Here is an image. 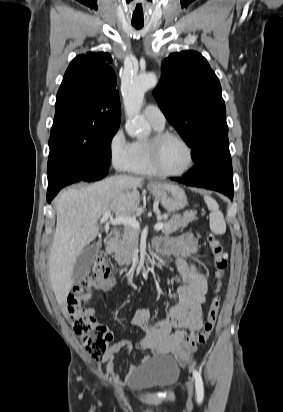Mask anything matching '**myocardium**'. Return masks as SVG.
I'll return each instance as SVG.
<instances>
[{"label":"myocardium","instance_id":"myocardium-1","mask_svg":"<svg viewBox=\"0 0 283 412\" xmlns=\"http://www.w3.org/2000/svg\"><path fill=\"white\" fill-rule=\"evenodd\" d=\"M170 138L179 140L187 148V151H188V155H189L188 164L183 170L179 172H167L163 170L160 165L159 158H160V151H161L162 145L166 140ZM149 154H150V161H151V164H152V167L155 173L162 177L176 178V177L184 176L185 174L191 171L195 163V154H194L193 146L190 144V142L185 137L173 131H161V132L155 133L150 138V141H149Z\"/></svg>","mask_w":283,"mask_h":412}]
</instances>
